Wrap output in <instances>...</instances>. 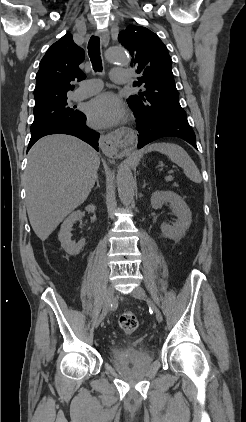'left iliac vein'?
I'll list each match as a JSON object with an SVG mask.
<instances>
[{
    "label": "left iliac vein",
    "mask_w": 246,
    "mask_h": 422,
    "mask_svg": "<svg viewBox=\"0 0 246 422\" xmlns=\"http://www.w3.org/2000/svg\"><path fill=\"white\" fill-rule=\"evenodd\" d=\"M132 296L137 298V299H145L146 298V293L145 290L142 287H136L133 291H132ZM154 312H155V317L156 320L160 323L163 321V316L161 311L154 306Z\"/></svg>",
    "instance_id": "1"
}]
</instances>
